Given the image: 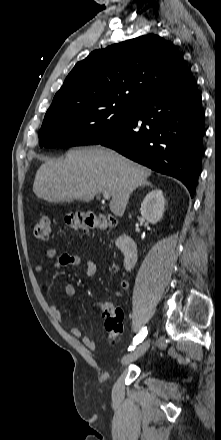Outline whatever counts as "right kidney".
Listing matches in <instances>:
<instances>
[{
  "label": "right kidney",
  "instance_id": "1",
  "mask_svg": "<svg viewBox=\"0 0 221 440\" xmlns=\"http://www.w3.org/2000/svg\"><path fill=\"white\" fill-rule=\"evenodd\" d=\"M165 198L160 189L150 191L141 203V215L150 223L156 224L162 219Z\"/></svg>",
  "mask_w": 221,
  "mask_h": 440
}]
</instances>
